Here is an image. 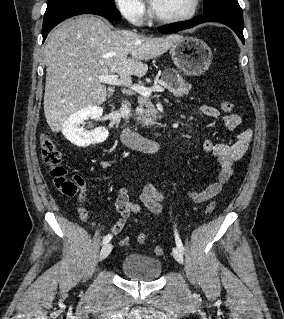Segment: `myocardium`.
Listing matches in <instances>:
<instances>
[{
  "label": "myocardium",
  "mask_w": 284,
  "mask_h": 319,
  "mask_svg": "<svg viewBox=\"0 0 284 319\" xmlns=\"http://www.w3.org/2000/svg\"><path fill=\"white\" fill-rule=\"evenodd\" d=\"M201 4V0H193L192 7L189 10L188 13L181 15V16H176V17H166L158 14L154 8H151L150 14L153 20L159 23L163 24H175V23H182L191 20L196 16V14L199 11Z\"/></svg>",
  "instance_id": "f54148a6"
}]
</instances>
